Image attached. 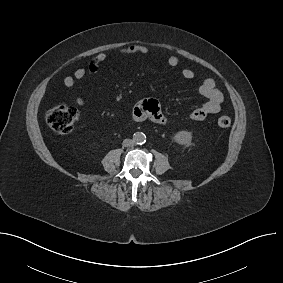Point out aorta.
I'll use <instances>...</instances> for the list:
<instances>
[{
  "label": "aorta",
  "mask_w": 283,
  "mask_h": 283,
  "mask_svg": "<svg viewBox=\"0 0 283 283\" xmlns=\"http://www.w3.org/2000/svg\"><path fill=\"white\" fill-rule=\"evenodd\" d=\"M133 141L136 144H143L146 141V135L144 133H142V132H136L133 135Z\"/></svg>",
  "instance_id": "1"
}]
</instances>
